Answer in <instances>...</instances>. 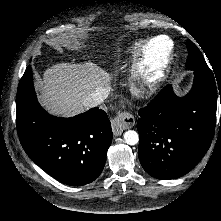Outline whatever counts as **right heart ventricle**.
I'll list each match as a JSON object with an SVG mask.
<instances>
[{"instance_id":"1","label":"right heart ventricle","mask_w":221,"mask_h":221,"mask_svg":"<svg viewBox=\"0 0 221 221\" xmlns=\"http://www.w3.org/2000/svg\"><path fill=\"white\" fill-rule=\"evenodd\" d=\"M140 47H141V43H136L133 47H132V52L135 53V52H138L140 50Z\"/></svg>"}]
</instances>
